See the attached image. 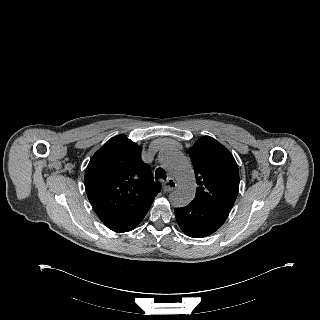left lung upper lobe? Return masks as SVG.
Returning a JSON list of instances; mask_svg holds the SVG:
<instances>
[{
    "instance_id": "obj_1",
    "label": "left lung upper lobe",
    "mask_w": 320,
    "mask_h": 320,
    "mask_svg": "<svg viewBox=\"0 0 320 320\" xmlns=\"http://www.w3.org/2000/svg\"><path fill=\"white\" fill-rule=\"evenodd\" d=\"M198 188L193 201L230 212L239 190V171L230 151L209 136L189 148Z\"/></svg>"
}]
</instances>
